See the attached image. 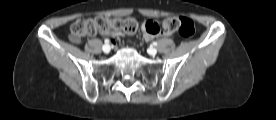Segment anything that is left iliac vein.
Returning a JSON list of instances; mask_svg holds the SVG:
<instances>
[{
  "label": "left iliac vein",
  "instance_id": "obj_1",
  "mask_svg": "<svg viewBox=\"0 0 276 120\" xmlns=\"http://www.w3.org/2000/svg\"><path fill=\"white\" fill-rule=\"evenodd\" d=\"M148 53L151 55V56H155L157 54V49L156 48H149L148 49Z\"/></svg>",
  "mask_w": 276,
  "mask_h": 120
}]
</instances>
